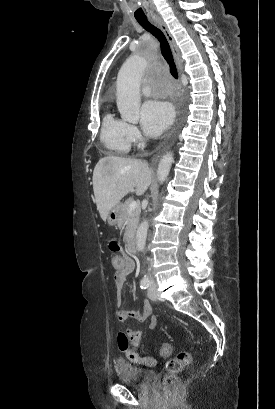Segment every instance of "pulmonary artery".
I'll return each mask as SVG.
<instances>
[{
	"label": "pulmonary artery",
	"mask_w": 275,
	"mask_h": 409,
	"mask_svg": "<svg viewBox=\"0 0 275 409\" xmlns=\"http://www.w3.org/2000/svg\"><path fill=\"white\" fill-rule=\"evenodd\" d=\"M144 95L145 96H148L150 93H152V87L151 86H146L145 88H144Z\"/></svg>",
	"instance_id": "obj_1"
}]
</instances>
